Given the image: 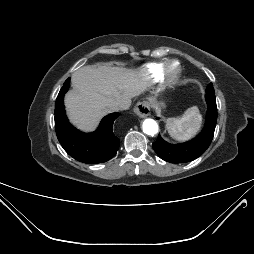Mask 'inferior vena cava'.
<instances>
[{"label":"inferior vena cava","instance_id":"obj_1","mask_svg":"<svg viewBox=\"0 0 254 254\" xmlns=\"http://www.w3.org/2000/svg\"><path fill=\"white\" fill-rule=\"evenodd\" d=\"M130 105H131L130 101H119L112 104V109L114 111L127 110L130 107Z\"/></svg>","mask_w":254,"mask_h":254}]
</instances>
